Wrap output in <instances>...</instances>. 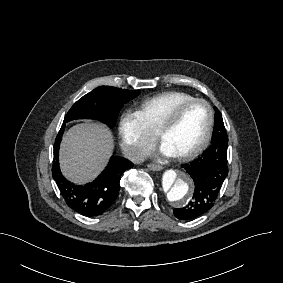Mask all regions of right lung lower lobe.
Listing matches in <instances>:
<instances>
[{
  "label": "right lung lower lobe",
  "mask_w": 283,
  "mask_h": 283,
  "mask_svg": "<svg viewBox=\"0 0 283 283\" xmlns=\"http://www.w3.org/2000/svg\"><path fill=\"white\" fill-rule=\"evenodd\" d=\"M64 129L65 123L62 124L54 144L52 176L70 208L88 217L101 215L114 203L120 189V178L133 164L125 158L112 156L96 180L85 185H74L61 174L59 168V143Z\"/></svg>",
  "instance_id": "right-lung-lower-lobe-1"
}]
</instances>
